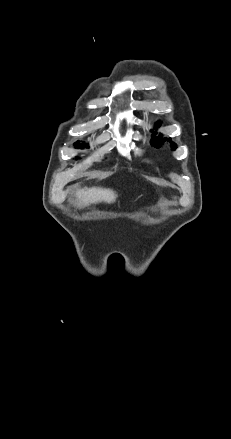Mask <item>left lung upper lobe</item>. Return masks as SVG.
Returning <instances> with one entry per match:
<instances>
[{"label": "left lung upper lobe", "instance_id": "left-lung-upper-lobe-1", "mask_svg": "<svg viewBox=\"0 0 231 439\" xmlns=\"http://www.w3.org/2000/svg\"><path fill=\"white\" fill-rule=\"evenodd\" d=\"M156 125L159 126L158 123ZM156 134H157L156 132H154L152 134V140H151L152 141V145H154L155 147H159L161 144H163L164 141H169L170 143H172V149L173 150L176 149L177 145L171 141V138H166V137L162 138V135L155 136ZM158 139H161V140L158 141Z\"/></svg>", "mask_w": 231, "mask_h": 439}]
</instances>
